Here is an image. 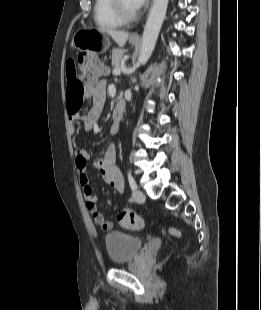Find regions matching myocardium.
<instances>
[{
  "label": "myocardium",
  "instance_id": "myocardium-1",
  "mask_svg": "<svg viewBox=\"0 0 261 310\" xmlns=\"http://www.w3.org/2000/svg\"><path fill=\"white\" fill-rule=\"evenodd\" d=\"M110 4L115 15L124 23L133 21L138 17L137 11L133 13L127 12L124 9L121 0H110Z\"/></svg>",
  "mask_w": 261,
  "mask_h": 310
}]
</instances>
